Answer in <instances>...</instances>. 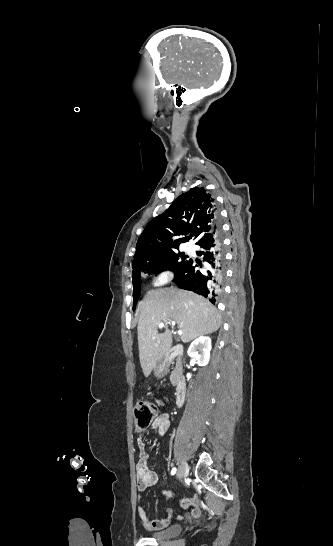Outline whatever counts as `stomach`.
I'll return each instance as SVG.
<instances>
[{
	"instance_id": "obj_1",
	"label": "stomach",
	"mask_w": 333,
	"mask_h": 546,
	"mask_svg": "<svg viewBox=\"0 0 333 546\" xmlns=\"http://www.w3.org/2000/svg\"><path fill=\"white\" fill-rule=\"evenodd\" d=\"M169 368V361L167 357H163L161 360L157 362V364L154 367V374L157 378H162L168 371Z\"/></svg>"
}]
</instances>
